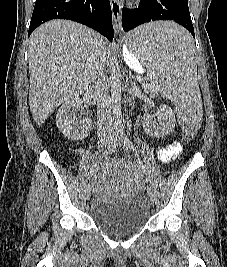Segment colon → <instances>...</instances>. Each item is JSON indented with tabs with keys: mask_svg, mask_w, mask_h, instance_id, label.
Segmentation results:
<instances>
[{
	"mask_svg": "<svg viewBox=\"0 0 227 267\" xmlns=\"http://www.w3.org/2000/svg\"><path fill=\"white\" fill-rule=\"evenodd\" d=\"M175 120L177 121V124L180 127V130L182 131V135L180 136L181 140H195L196 132L194 130H191L192 125H189V123H186L184 115H180V113H176L174 116Z\"/></svg>",
	"mask_w": 227,
	"mask_h": 267,
	"instance_id": "colon-1",
	"label": "colon"
}]
</instances>
